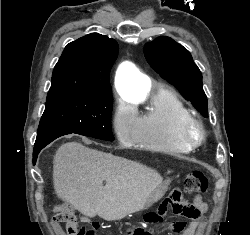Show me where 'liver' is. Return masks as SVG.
Segmentation results:
<instances>
[{"instance_id":"liver-1","label":"liver","mask_w":250,"mask_h":235,"mask_svg":"<svg viewBox=\"0 0 250 235\" xmlns=\"http://www.w3.org/2000/svg\"><path fill=\"white\" fill-rule=\"evenodd\" d=\"M161 183L152 168L77 142L61 145L53 160L56 194L88 217L121 220L142 210Z\"/></svg>"}]
</instances>
